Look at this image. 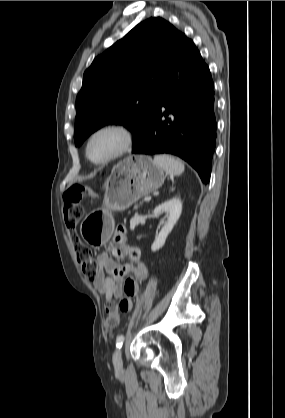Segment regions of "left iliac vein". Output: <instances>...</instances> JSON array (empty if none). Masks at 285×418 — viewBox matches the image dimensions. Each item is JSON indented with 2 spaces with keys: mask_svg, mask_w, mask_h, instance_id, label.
<instances>
[{
  "mask_svg": "<svg viewBox=\"0 0 285 418\" xmlns=\"http://www.w3.org/2000/svg\"><path fill=\"white\" fill-rule=\"evenodd\" d=\"M113 364L117 372H120L122 370L123 361H122V349L121 348L115 351L114 356H113Z\"/></svg>",
  "mask_w": 285,
  "mask_h": 418,
  "instance_id": "obj_1",
  "label": "left iliac vein"
}]
</instances>
